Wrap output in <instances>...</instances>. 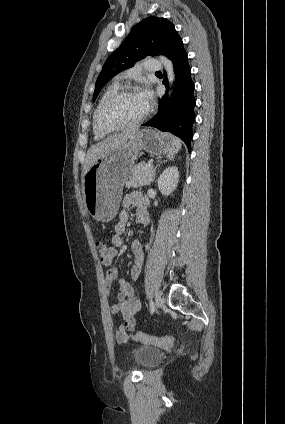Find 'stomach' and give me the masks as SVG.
Listing matches in <instances>:
<instances>
[{"mask_svg": "<svg viewBox=\"0 0 285 424\" xmlns=\"http://www.w3.org/2000/svg\"><path fill=\"white\" fill-rule=\"evenodd\" d=\"M173 138L167 133L143 129L125 145L99 158L83 177L82 191L87 212L97 221H111L118 212L123 187L131 176L138 152L167 153Z\"/></svg>", "mask_w": 285, "mask_h": 424, "instance_id": "1", "label": "stomach"}]
</instances>
